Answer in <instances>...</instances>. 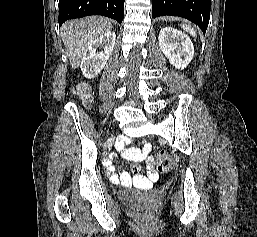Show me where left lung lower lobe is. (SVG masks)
Returning <instances> with one entry per match:
<instances>
[{
	"instance_id": "obj_1",
	"label": "left lung lower lobe",
	"mask_w": 257,
	"mask_h": 237,
	"mask_svg": "<svg viewBox=\"0 0 257 237\" xmlns=\"http://www.w3.org/2000/svg\"><path fill=\"white\" fill-rule=\"evenodd\" d=\"M210 0H152V18L179 16L197 24L205 33L210 18Z\"/></svg>"
}]
</instances>
